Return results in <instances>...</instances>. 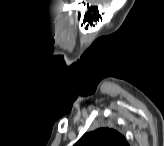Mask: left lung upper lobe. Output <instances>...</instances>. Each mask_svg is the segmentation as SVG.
Returning a JSON list of instances; mask_svg holds the SVG:
<instances>
[{"label":"left lung upper lobe","mask_w":164,"mask_h":146,"mask_svg":"<svg viewBox=\"0 0 164 146\" xmlns=\"http://www.w3.org/2000/svg\"><path fill=\"white\" fill-rule=\"evenodd\" d=\"M74 146H128V143L117 130L101 127L85 133Z\"/></svg>","instance_id":"1"}]
</instances>
